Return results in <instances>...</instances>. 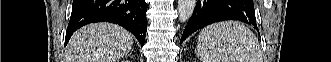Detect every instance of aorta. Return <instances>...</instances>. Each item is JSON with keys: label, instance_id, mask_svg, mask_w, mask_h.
<instances>
[{"label": "aorta", "instance_id": "1", "mask_svg": "<svg viewBox=\"0 0 331 62\" xmlns=\"http://www.w3.org/2000/svg\"><path fill=\"white\" fill-rule=\"evenodd\" d=\"M196 0H178V14L180 22L190 19L196 6Z\"/></svg>", "mask_w": 331, "mask_h": 62}]
</instances>
